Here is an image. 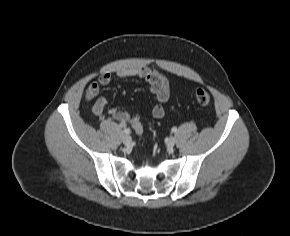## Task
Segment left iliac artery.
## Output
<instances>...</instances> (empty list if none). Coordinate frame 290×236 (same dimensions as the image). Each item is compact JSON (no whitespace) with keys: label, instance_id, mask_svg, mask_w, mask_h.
<instances>
[{"label":"left iliac artery","instance_id":"1","mask_svg":"<svg viewBox=\"0 0 290 236\" xmlns=\"http://www.w3.org/2000/svg\"><path fill=\"white\" fill-rule=\"evenodd\" d=\"M171 131L175 133L177 131V128L173 127Z\"/></svg>","mask_w":290,"mask_h":236}]
</instances>
